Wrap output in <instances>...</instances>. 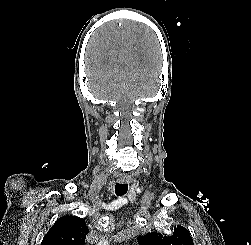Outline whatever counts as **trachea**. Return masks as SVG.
Instances as JSON below:
<instances>
[{
    "mask_svg": "<svg viewBox=\"0 0 251 245\" xmlns=\"http://www.w3.org/2000/svg\"><path fill=\"white\" fill-rule=\"evenodd\" d=\"M127 190H128V185L127 184L116 183V185H115L116 195L123 196L124 194H126Z\"/></svg>",
    "mask_w": 251,
    "mask_h": 245,
    "instance_id": "3493384b",
    "label": "trachea"
}]
</instances>
